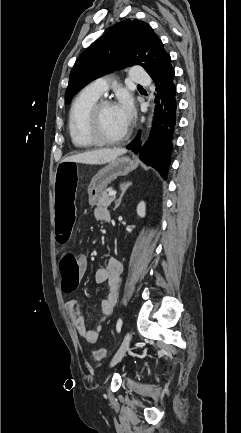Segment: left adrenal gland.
<instances>
[{
	"label": "left adrenal gland",
	"mask_w": 241,
	"mask_h": 433,
	"mask_svg": "<svg viewBox=\"0 0 241 433\" xmlns=\"http://www.w3.org/2000/svg\"><path fill=\"white\" fill-rule=\"evenodd\" d=\"M131 185H132L131 182H126V183L121 184V186H120V189H121V195H120V197H119V198L116 200V202H115L116 205H115L114 211H115V210L120 206L121 201H122V198H123L125 192L127 191V189H128Z\"/></svg>",
	"instance_id": "1"
}]
</instances>
